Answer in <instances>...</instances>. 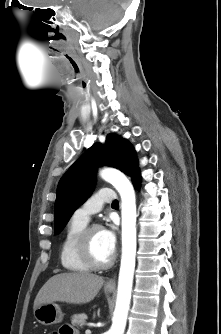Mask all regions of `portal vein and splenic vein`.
Returning <instances> with one entry per match:
<instances>
[{
	"label": "portal vein and splenic vein",
	"instance_id": "18ae733b",
	"mask_svg": "<svg viewBox=\"0 0 221 334\" xmlns=\"http://www.w3.org/2000/svg\"><path fill=\"white\" fill-rule=\"evenodd\" d=\"M85 334H91V331H90L89 329H87V330L85 331Z\"/></svg>",
	"mask_w": 221,
	"mask_h": 334
}]
</instances>
